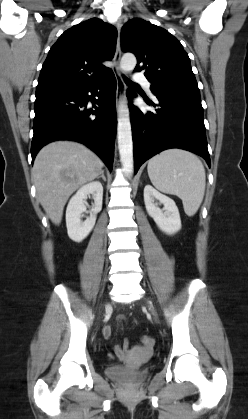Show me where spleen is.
Wrapping results in <instances>:
<instances>
[{"label": "spleen", "instance_id": "obj_1", "mask_svg": "<svg viewBox=\"0 0 248 419\" xmlns=\"http://www.w3.org/2000/svg\"><path fill=\"white\" fill-rule=\"evenodd\" d=\"M147 170L158 190L182 200L188 216L197 212L204 198L206 176L204 166L195 154L168 149L151 158Z\"/></svg>", "mask_w": 248, "mask_h": 419}]
</instances>
